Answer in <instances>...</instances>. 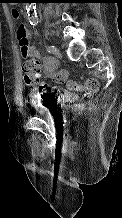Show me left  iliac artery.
<instances>
[{
  "label": "left iliac artery",
  "mask_w": 122,
  "mask_h": 218,
  "mask_svg": "<svg viewBox=\"0 0 122 218\" xmlns=\"http://www.w3.org/2000/svg\"><path fill=\"white\" fill-rule=\"evenodd\" d=\"M47 51H48L49 53H54V52H55V47H54V46H49V47L47 48Z\"/></svg>",
  "instance_id": "44dca946"
}]
</instances>
